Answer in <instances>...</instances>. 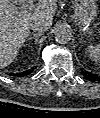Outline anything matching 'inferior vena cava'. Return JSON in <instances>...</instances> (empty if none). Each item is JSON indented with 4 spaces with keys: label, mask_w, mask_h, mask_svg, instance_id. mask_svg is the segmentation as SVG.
I'll list each match as a JSON object with an SVG mask.
<instances>
[{
    "label": "inferior vena cava",
    "mask_w": 100,
    "mask_h": 118,
    "mask_svg": "<svg viewBox=\"0 0 100 118\" xmlns=\"http://www.w3.org/2000/svg\"><path fill=\"white\" fill-rule=\"evenodd\" d=\"M49 25L44 20H36L31 23V29L38 33H43L47 31Z\"/></svg>",
    "instance_id": "inferior-vena-cava-1"
}]
</instances>
